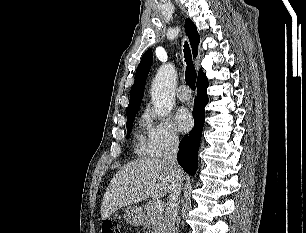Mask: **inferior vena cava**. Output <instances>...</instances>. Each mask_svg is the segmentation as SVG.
I'll return each mask as SVG.
<instances>
[{
	"label": "inferior vena cava",
	"mask_w": 306,
	"mask_h": 233,
	"mask_svg": "<svg viewBox=\"0 0 306 233\" xmlns=\"http://www.w3.org/2000/svg\"><path fill=\"white\" fill-rule=\"evenodd\" d=\"M179 148V139L176 135L170 136L165 144L163 161L171 168L173 181L170 188L167 206L165 209L166 233H178L179 227L177 222L179 199L181 194L183 175L177 162V153Z\"/></svg>",
	"instance_id": "1"
}]
</instances>
